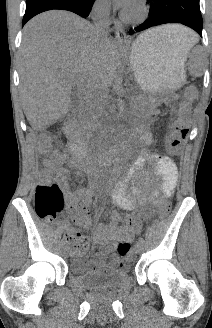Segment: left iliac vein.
<instances>
[{"instance_id": "obj_1", "label": "left iliac vein", "mask_w": 212, "mask_h": 328, "mask_svg": "<svg viewBox=\"0 0 212 328\" xmlns=\"http://www.w3.org/2000/svg\"><path fill=\"white\" fill-rule=\"evenodd\" d=\"M143 251V244H141L140 242H138L136 245H135V252L137 254H140L142 253Z\"/></svg>"}]
</instances>
